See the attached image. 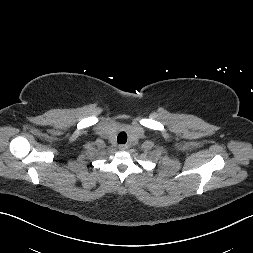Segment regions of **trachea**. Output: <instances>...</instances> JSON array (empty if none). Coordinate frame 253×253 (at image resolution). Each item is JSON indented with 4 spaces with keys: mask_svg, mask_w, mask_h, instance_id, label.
Returning a JSON list of instances; mask_svg holds the SVG:
<instances>
[{
    "mask_svg": "<svg viewBox=\"0 0 253 253\" xmlns=\"http://www.w3.org/2000/svg\"><path fill=\"white\" fill-rule=\"evenodd\" d=\"M117 142L119 144H125L127 142V134L125 132H121L117 136Z\"/></svg>",
    "mask_w": 253,
    "mask_h": 253,
    "instance_id": "trachea-1",
    "label": "trachea"
}]
</instances>
